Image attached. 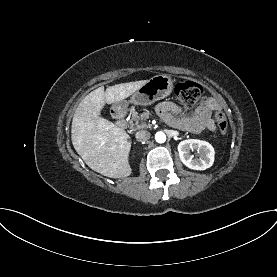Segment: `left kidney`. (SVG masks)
Masks as SVG:
<instances>
[{
  "label": "left kidney",
  "instance_id": "left-kidney-1",
  "mask_svg": "<svg viewBox=\"0 0 277 277\" xmlns=\"http://www.w3.org/2000/svg\"><path fill=\"white\" fill-rule=\"evenodd\" d=\"M193 150L198 151L199 158H194V155L191 154ZM178 152L183 164L193 170H206L214 162V148L206 141L198 139L181 141L178 145Z\"/></svg>",
  "mask_w": 277,
  "mask_h": 277
}]
</instances>
